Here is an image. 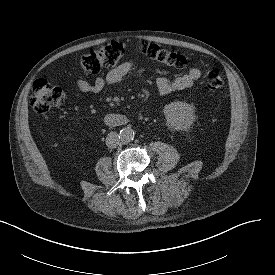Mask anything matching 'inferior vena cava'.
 Wrapping results in <instances>:
<instances>
[{"instance_id":"obj_1","label":"inferior vena cava","mask_w":275,"mask_h":275,"mask_svg":"<svg viewBox=\"0 0 275 275\" xmlns=\"http://www.w3.org/2000/svg\"><path fill=\"white\" fill-rule=\"evenodd\" d=\"M120 144V138L117 132H110L106 137V145L109 148H116Z\"/></svg>"}]
</instances>
